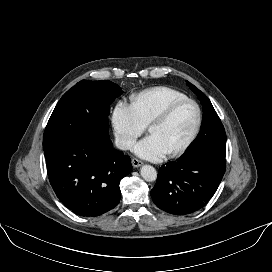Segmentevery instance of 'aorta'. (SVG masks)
I'll use <instances>...</instances> for the list:
<instances>
[{"instance_id": "obj_1", "label": "aorta", "mask_w": 272, "mask_h": 272, "mask_svg": "<svg viewBox=\"0 0 272 272\" xmlns=\"http://www.w3.org/2000/svg\"><path fill=\"white\" fill-rule=\"evenodd\" d=\"M141 176L147 182H153L157 178V171L153 166L144 165L140 170Z\"/></svg>"}]
</instances>
